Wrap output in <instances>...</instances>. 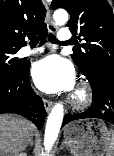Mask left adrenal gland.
<instances>
[{"label":"left adrenal gland","mask_w":114,"mask_h":156,"mask_svg":"<svg viewBox=\"0 0 114 156\" xmlns=\"http://www.w3.org/2000/svg\"><path fill=\"white\" fill-rule=\"evenodd\" d=\"M64 147H65V143H64V141H63V143H62L61 146H60V149H64Z\"/></svg>","instance_id":"1"}]
</instances>
